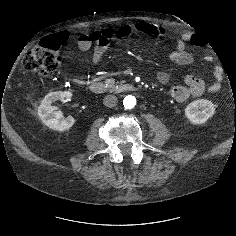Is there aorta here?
<instances>
[{"mask_svg": "<svg viewBox=\"0 0 236 236\" xmlns=\"http://www.w3.org/2000/svg\"><path fill=\"white\" fill-rule=\"evenodd\" d=\"M123 105L126 109H132L136 105V98L132 95H128L123 100Z\"/></svg>", "mask_w": 236, "mask_h": 236, "instance_id": "1", "label": "aorta"}]
</instances>
